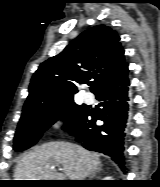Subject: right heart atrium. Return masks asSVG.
<instances>
[{
	"mask_svg": "<svg viewBox=\"0 0 160 187\" xmlns=\"http://www.w3.org/2000/svg\"><path fill=\"white\" fill-rule=\"evenodd\" d=\"M60 121L59 120H55V121H53L51 124H50V127L52 128V129H58L59 127H60Z\"/></svg>",
	"mask_w": 160,
	"mask_h": 187,
	"instance_id": "right-heart-atrium-1",
	"label": "right heart atrium"
}]
</instances>
